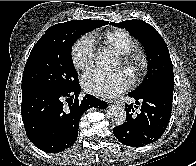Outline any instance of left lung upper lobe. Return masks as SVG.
<instances>
[{"label":"left lung upper lobe","mask_w":196,"mask_h":166,"mask_svg":"<svg viewBox=\"0 0 196 166\" xmlns=\"http://www.w3.org/2000/svg\"><path fill=\"white\" fill-rule=\"evenodd\" d=\"M110 25L125 28L145 49L148 72L142 84L131 93L139 94L153 88L174 89L173 66L168 47L161 35L143 20H127Z\"/></svg>","instance_id":"1"}]
</instances>
